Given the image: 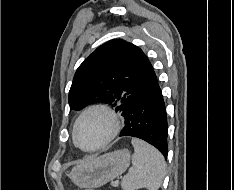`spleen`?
Segmentation results:
<instances>
[{
	"instance_id": "spleen-1",
	"label": "spleen",
	"mask_w": 234,
	"mask_h": 190,
	"mask_svg": "<svg viewBox=\"0 0 234 190\" xmlns=\"http://www.w3.org/2000/svg\"><path fill=\"white\" fill-rule=\"evenodd\" d=\"M131 143L134 147L132 167L122 180V189L158 190L166 174V163L163 155L155 147L141 139L133 138Z\"/></svg>"
}]
</instances>
